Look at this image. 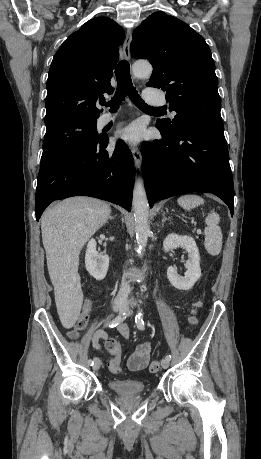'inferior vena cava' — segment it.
Returning a JSON list of instances; mask_svg holds the SVG:
<instances>
[{
  "mask_svg": "<svg viewBox=\"0 0 261 459\" xmlns=\"http://www.w3.org/2000/svg\"><path fill=\"white\" fill-rule=\"evenodd\" d=\"M129 293H130V285L128 284V282H126L125 276H124L123 279H122V283H121V287H120L119 293H118L115 301L117 303L126 302L127 299H128Z\"/></svg>",
  "mask_w": 261,
  "mask_h": 459,
  "instance_id": "602c4592",
  "label": "inferior vena cava"
}]
</instances>
